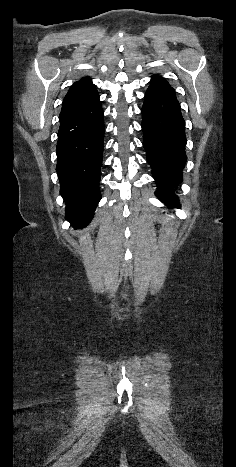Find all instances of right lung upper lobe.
Instances as JSON below:
<instances>
[{
  "label": "right lung upper lobe",
  "mask_w": 236,
  "mask_h": 467,
  "mask_svg": "<svg viewBox=\"0 0 236 467\" xmlns=\"http://www.w3.org/2000/svg\"><path fill=\"white\" fill-rule=\"evenodd\" d=\"M98 97L97 89L90 77L80 79L71 86L66 94L59 118L85 108Z\"/></svg>",
  "instance_id": "cb5924a9"
}]
</instances>
